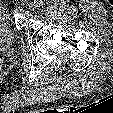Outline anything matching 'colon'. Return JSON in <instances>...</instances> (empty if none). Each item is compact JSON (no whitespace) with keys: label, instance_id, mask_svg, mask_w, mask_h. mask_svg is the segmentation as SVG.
<instances>
[{"label":"colon","instance_id":"1","mask_svg":"<svg viewBox=\"0 0 113 113\" xmlns=\"http://www.w3.org/2000/svg\"><path fill=\"white\" fill-rule=\"evenodd\" d=\"M2 62H3V57H2V55L0 54V67H1Z\"/></svg>","mask_w":113,"mask_h":113}]
</instances>
